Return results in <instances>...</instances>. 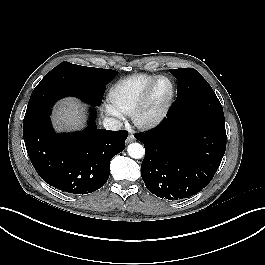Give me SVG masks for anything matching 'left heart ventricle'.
Segmentation results:
<instances>
[{
  "label": "left heart ventricle",
  "instance_id": "b2bd125f",
  "mask_svg": "<svg viewBox=\"0 0 265 265\" xmlns=\"http://www.w3.org/2000/svg\"><path fill=\"white\" fill-rule=\"evenodd\" d=\"M170 92L171 86L169 81L166 79L160 80L154 88L152 97L148 105V112L152 114L160 111L167 101Z\"/></svg>",
  "mask_w": 265,
  "mask_h": 265
}]
</instances>
